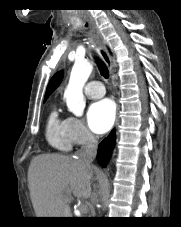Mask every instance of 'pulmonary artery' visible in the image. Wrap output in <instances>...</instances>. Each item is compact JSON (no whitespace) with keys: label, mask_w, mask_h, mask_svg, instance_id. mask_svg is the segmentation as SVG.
<instances>
[{"label":"pulmonary artery","mask_w":181,"mask_h":227,"mask_svg":"<svg viewBox=\"0 0 181 227\" xmlns=\"http://www.w3.org/2000/svg\"><path fill=\"white\" fill-rule=\"evenodd\" d=\"M88 98L96 99L104 96L105 88L100 81H90L84 88Z\"/></svg>","instance_id":"e3ab8cb5"}]
</instances>
